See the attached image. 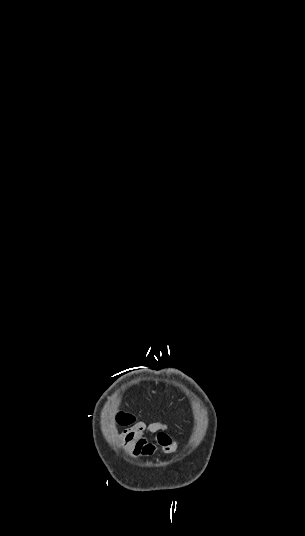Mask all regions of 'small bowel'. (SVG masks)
I'll list each match as a JSON object with an SVG mask.
<instances>
[{
  "instance_id": "1",
  "label": "small bowel",
  "mask_w": 305,
  "mask_h": 536,
  "mask_svg": "<svg viewBox=\"0 0 305 536\" xmlns=\"http://www.w3.org/2000/svg\"><path fill=\"white\" fill-rule=\"evenodd\" d=\"M112 425V422H109ZM115 433V430H110ZM119 444L133 457L146 458L157 450L176 453L177 444L173 441L168 427H131L124 429L123 435H116Z\"/></svg>"
}]
</instances>
